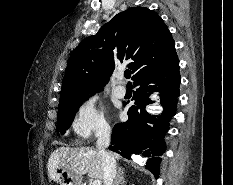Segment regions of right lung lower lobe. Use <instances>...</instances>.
Here are the masks:
<instances>
[{"label":"right lung lower lobe","mask_w":233,"mask_h":185,"mask_svg":"<svg viewBox=\"0 0 233 185\" xmlns=\"http://www.w3.org/2000/svg\"><path fill=\"white\" fill-rule=\"evenodd\" d=\"M180 80L178 58L139 74L134 79L137 89L132 98L135 102L128 110L129 119L115 125L112 132V145L109 149L126 158L144 149L146 157L152 156L147 160V169L156 178L160 172L161 159L158 156L166 148L163 136L169 129V120L176 113ZM155 91L160 93V103L164 108L157 118L145 111L146 105L153 102L149 94ZM147 123H153L154 126L149 127Z\"/></svg>","instance_id":"98d812e1"}]
</instances>
